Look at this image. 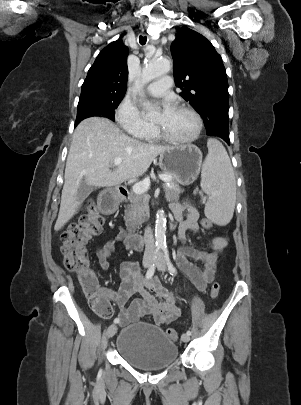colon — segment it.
Here are the masks:
<instances>
[{"mask_svg":"<svg viewBox=\"0 0 301 405\" xmlns=\"http://www.w3.org/2000/svg\"><path fill=\"white\" fill-rule=\"evenodd\" d=\"M104 224L105 217L103 214L99 213L94 203H89L86 206L85 214L80 217L79 222L70 225L62 233L63 245L61 252L64 257L65 267L76 274L92 309L100 316L108 317L111 314V308L101 292L86 249L87 243L102 233ZM201 226L204 229H210L212 222L204 218L201 221ZM219 291V283H213L211 297L216 298ZM167 335L173 341L178 339V332L175 329H167Z\"/></svg>","mask_w":301,"mask_h":405,"instance_id":"1","label":"colon"}]
</instances>
